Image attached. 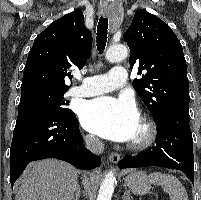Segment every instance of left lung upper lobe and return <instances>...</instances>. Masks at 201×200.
I'll return each mask as SVG.
<instances>
[{
    "mask_svg": "<svg viewBox=\"0 0 201 200\" xmlns=\"http://www.w3.org/2000/svg\"><path fill=\"white\" fill-rule=\"evenodd\" d=\"M123 38L130 48V68L139 66L142 75L133 80V86L154 119L170 108L189 109L186 61L172 29L157 16L139 10Z\"/></svg>",
    "mask_w": 201,
    "mask_h": 200,
    "instance_id": "5c2ea615",
    "label": "left lung upper lobe"
}]
</instances>
